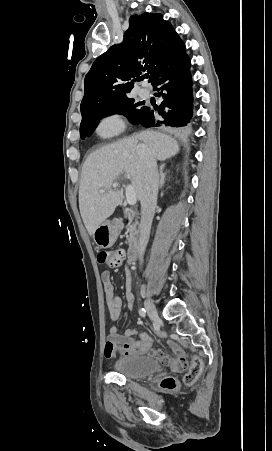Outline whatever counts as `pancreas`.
<instances>
[{"instance_id": "obj_1", "label": "pancreas", "mask_w": 272, "mask_h": 451, "mask_svg": "<svg viewBox=\"0 0 272 451\" xmlns=\"http://www.w3.org/2000/svg\"><path fill=\"white\" fill-rule=\"evenodd\" d=\"M117 227L120 231V229H122L123 227L122 222H119V224H117ZM127 231H129L128 237L129 247H134V245H137L139 237V227L137 222H132L131 220V222H129L128 224Z\"/></svg>"}]
</instances>
